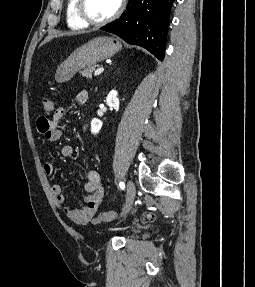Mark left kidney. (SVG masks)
Returning a JSON list of instances; mask_svg holds the SVG:
<instances>
[{
  "instance_id": "left-kidney-1",
  "label": "left kidney",
  "mask_w": 255,
  "mask_h": 287,
  "mask_svg": "<svg viewBox=\"0 0 255 287\" xmlns=\"http://www.w3.org/2000/svg\"><path fill=\"white\" fill-rule=\"evenodd\" d=\"M118 96V92H116V90H111V92H109L106 100H107V106H109V108H114V110H116V112H118L119 110V98H117ZM102 128V122L101 120H98V118H93L92 122H91V132L92 134H98L99 130H101Z\"/></svg>"
}]
</instances>
